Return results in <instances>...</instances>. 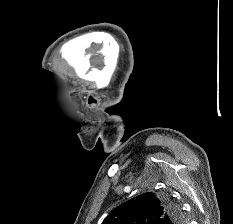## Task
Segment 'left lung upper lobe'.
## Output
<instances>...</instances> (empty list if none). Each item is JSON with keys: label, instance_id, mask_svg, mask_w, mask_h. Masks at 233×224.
I'll use <instances>...</instances> for the list:
<instances>
[{"label": "left lung upper lobe", "instance_id": "1", "mask_svg": "<svg viewBox=\"0 0 233 224\" xmlns=\"http://www.w3.org/2000/svg\"><path fill=\"white\" fill-rule=\"evenodd\" d=\"M179 207L167 195L141 194L116 207L102 224H181Z\"/></svg>", "mask_w": 233, "mask_h": 224}]
</instances>
